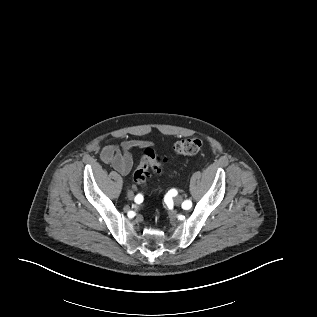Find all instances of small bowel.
<instances>
[{
	"label": "small bowel",
	"mask_w": 317,
	"mask_h": 317,
	"mask_svg": "<svg viewBox=\"0 0 317 317\" xmlns=\"http://www.w3.org/2000/svg\"><path fill=\"white\" fill-rule=\"evenodd\" d=\"M144 145V141L134 139L125 140L120 144L106 145L100 152V158L118 173L126 175L133 166L132 151L136 148H141ZM129 192L134 194L132 191Z\"/></svg>",
	"instance_id": "small-bowel-1"
}]
</instances>
